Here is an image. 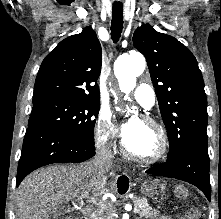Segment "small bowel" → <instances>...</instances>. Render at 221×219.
<instances>
[{
    "instance_id": "small-bowel-1",
    "label": "small bowel",
    "mask_w": 221,
    "mask_h": 219,
    "mask_svg": "<svg viewBox=\"0 0 221 219\" xmlns=\"http://www.w3.org/2000/svg\"><path fill=\"white\" fill-rule=\"evenodd\" d=\"M161 219H169L168 217H163V218H161Z\"/></svg>"
}]
</instances>
